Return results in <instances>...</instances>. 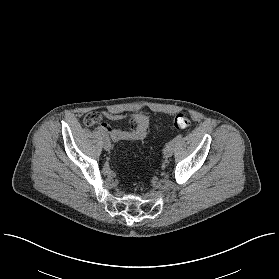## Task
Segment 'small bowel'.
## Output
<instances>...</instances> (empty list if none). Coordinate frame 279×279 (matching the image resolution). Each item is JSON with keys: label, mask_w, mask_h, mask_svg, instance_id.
<instances>
[{"label": "small bowel", "mask_w": 279, "mask_h": 279, "mask_svg": "<svg viewBox=\"0 0 279 279\" xmlns=\"http://www.w3.org/2000/svg\"><path fill=\"white\" fill-rule=\"evenodd\" d=\"M110 121L127 120L132 128L128 131L113 129L107 123H101L99 125L102 132L106 133L113 142L124 141H141L144 140L149 132V117L144 114L124 115L120 113L102 111L99 113L87 114L84 122L87 126L99 122L102 119Z\"/></svg>", "instance_id": "c3829d8e"}]
</instances>
